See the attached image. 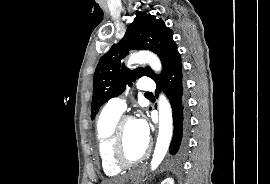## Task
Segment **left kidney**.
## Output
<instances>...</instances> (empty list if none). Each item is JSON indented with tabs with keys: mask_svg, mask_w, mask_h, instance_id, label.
I'll use <instances>...</instances> for the list:
<instances>
[{
	"mask_svg": "<svg viewBox=\"0 0 270 184\" xmlns=\"http://www.w3.org/2000/svg\"><path fill=\"white\" fill-rule=\"evenodd\" d=\"M161 184H174V180L172 178H166Z\"/></svg>",
	"mask_w": 270,
	"mask_h": 184,
	"instance_id": "1",
	"label": "left kidney"
}]
</instances>
